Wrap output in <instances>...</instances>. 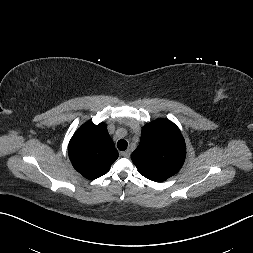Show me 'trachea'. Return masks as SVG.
Masks as SVG:
<instances>
[{
  "mask_svg": "<svg viewBox=\"0 0 253 253\" xmlns=\"http://www.w3.org/2000/svg\"><path fill=\"white\" fill-rule=\"evenodd\" d=\"M128 146V143L126 140H119L117 143V147L120 151H125Z\"/></svg>",
  "mask_w": 253,
  "mask_h": 253,
  "instance_id": "3493384b",
  "label": "trachea"
}]
</instances>
